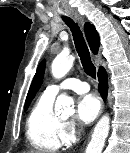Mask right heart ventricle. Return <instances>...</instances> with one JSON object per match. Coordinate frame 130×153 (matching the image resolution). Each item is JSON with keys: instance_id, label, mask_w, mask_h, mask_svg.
Segmentation results:
<instances>
[{"instance_id": "obj_1", "label": "right heart ventricle", "mask_w": 130, "mask_h": 153, "mask_svg": "<svg viewBox=\"0 0 130 153\" xmlns=\"http://www.w3.org/2000/svg\"><path fill=\"white\" fill-rule=\"evenodd\" d=\"M54 95L43 92L26 120V137L40 152H56L62 143V120L53 112Z\"/></svg>"}]
</instances>
